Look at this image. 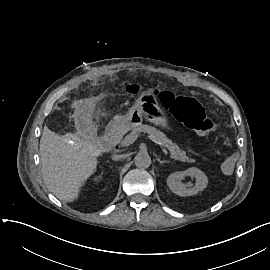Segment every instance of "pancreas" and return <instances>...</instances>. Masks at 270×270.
Returning <instances> with one entry per match:
<instances>
[{"label": "pancreas", "mask_w": 270, "mask_h": 270, "mask_svg": "<svg viewBox=\"0 0 270 270\" xmlns=\"http://www.w3.org/2000/svg\"><path fill=\"white\" fill-rule=\"evenodd\" d=\"M132 132L136 135H139L141 132L153 135L156 141L160 142L163 147H166L170 151L171 158L175 160L191 163L195 162V159H190L188 156H186L185 151H182L178 145L173 143L163 132L157 130L155 127L149 125H141L134 128Z\"/></svg>", "instance_id": "cf45deb5"}]
</instances>
